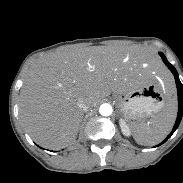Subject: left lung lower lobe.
Wrapping results in <instances>:
<instances>
[{
    "label": "left lung lower lobe",
    "instance_id": "1",
    "mask_svg": "<svg viewBox=\"0 0 183 183\" xmlns=\"http://www.w3.org/2000/svg\"><path fill=\"white\" fill-rule=\"evenodd\" d=\"M163 62L166 64V66L171 70V72L173 73L174 77H175V81H176V85H177V90H178V115H177V119H176V122L174 124V127L171 131V133L167 136V138L161 142L159 145L163 144L164 142H166L171 136L172 134L175 132V130L178 128L179 124H180V121L182 119V116H183V85L182 83L180 82L179 80V76H178V73L176 71V69L173 67L172 64H170L166 57L164 56L163 53H159ZM157 145V146H159Z\"/></svg>",
    "mask_w": 183,
    "mask_h": 183
}]
</instances>
